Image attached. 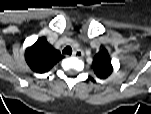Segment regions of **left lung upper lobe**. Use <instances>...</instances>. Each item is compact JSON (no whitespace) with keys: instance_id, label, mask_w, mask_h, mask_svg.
I'll use <instances>...</instances> for the list:
<instances>
[{"instance_id":"1","label":"left lung upper lobe","mask_w":151,"mask_h":114,"mask_svg":"<svg viewBox=\"0 0 151 114\" xmlns=\"http://www.w3.org/2000/svg\"><path fill=\"white\" fill-rule=\"evenodd\" d=\"M92 67L96 75L101 79H106L111 75L113 67L107 50L103 49L95 55Z\"/></svg>"}]
</instances>
